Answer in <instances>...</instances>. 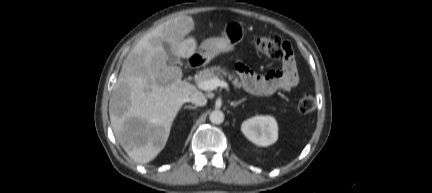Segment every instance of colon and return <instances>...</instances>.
Listing matches in <instances>:
<instances>
[{"label": "colon", "instance_id": "5ec220e1", "mask_svg": "<svg viewBox=\"0 0 432 193\" xmlns=\"http://www.w3.org/2000/svg\"><path fill=\"white\" fill-rule=\"evenodd\" d=\"M256 50L272 59H288L292 57L289 42L277 34L257 37L254 41ZM316 102L312 95L304 94L298 101L297 108L301 113H309L315 109Z\"/></svg>", "mask_w": 432, "mask_h": 193}]
</instances>
